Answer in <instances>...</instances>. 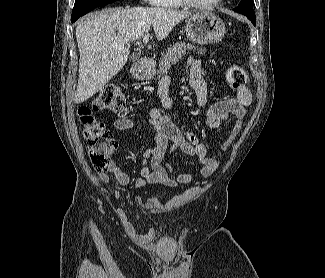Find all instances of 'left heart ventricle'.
I'll list each match as a JSON object with an SVG mask.
<instances>
[{
  "instance_id": "1",
  "label": "left heart ventricle",
  "mask_w": 325,
  "mask_h": 278,
  "mask_svg": "<svg viewBox=\"0 0 325 278\" xmlns=\"http://www.w3.org/2000/svg\"><path fill=\"white\" fill-rule=\"evenodd\" d=\"M193 1L200 3V4H208V3L213 2L214 0H193Z\"/></svg>"
}]
</instances>
